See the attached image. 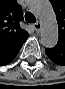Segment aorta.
<instances>
[{
  "label": "aorta",
  "mask_w": 65,
  "mask_h": 89,
  "mask_svg": "<svg viewBox=\"0 0 65 89\" xmlns=\"http://www.w3.org/2000/svg\"><path fill=\"white\" fill-rule=\"evenodd\" d=\"M31 9L40 20L41 44L46 48L55 47L58 41V26L52 5L46 0H37L32 3Z\"/></svg>",
  "instance_id": "obj_1"
}]
</instances>
